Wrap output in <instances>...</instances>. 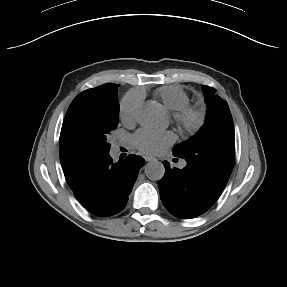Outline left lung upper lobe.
<instances>
[{
    "mask_svg": "<svg viewBox=\"0 0 287 287\" xmlns=\"http://www.w3.org/2000/svg\"><path fill=\"white\" fill-rule=\"evenodd\" d=\"M208 106L205 124L189 140L177 144L173 155L185 158L187 164L209 175L210 183L224 187L235 158L234 124L226 101L213 98L216 89L203 86Z\"/></svg>",
    "mask_w": 287,
    "mask_h": 287,
    "instance_id": "1",
    "label": "left lung upper lobe"
}]
</instances>
